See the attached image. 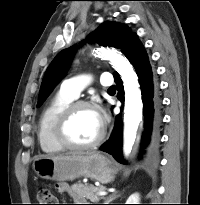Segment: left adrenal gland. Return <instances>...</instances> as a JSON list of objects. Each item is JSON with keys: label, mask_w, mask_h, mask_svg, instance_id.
<instances>
[{"label": "left adrenal gland", "mask_w": 200, "mask_h": 205, "mask_svg": "<svg viewBox=\"0 0 200 205\" xmlns=\"http://www.w3.org/2000/svg\"><path fill=\"white\" fill-rule=\"evenodd\" d=\"M121 194H118V191H115L114 193L110 194L105 198L104 204H110L111 201L115 200L116 198L120 197Z\"/></svg>", "instance_id": "1"}]
</instances>
